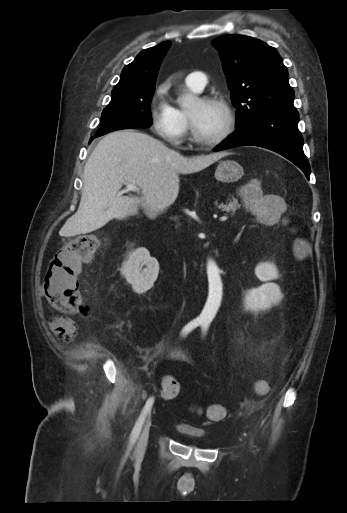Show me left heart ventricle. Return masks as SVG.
I'll use <instances>...</instances> for the list:
<instances>
[{
    "instance_id": "b2bd125f",
    "label": "left heart ventricle",
    "mask_w": 347,
    "mask_h": 513,
    "mask_svg": "<svg viewBox=\"0 0 347 513\" xmlns=\"http://www.w3.org/2000/svg\"><path fill=\"white\" fill-rule=\"evenodd\" d=\"M189 116L200 137L212 139L224 129L226 117L223 109L212 103L196 101L189 109Z\"/></svg>"
}]
</instances>
